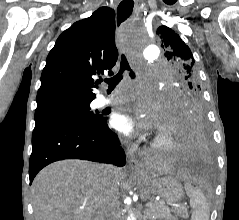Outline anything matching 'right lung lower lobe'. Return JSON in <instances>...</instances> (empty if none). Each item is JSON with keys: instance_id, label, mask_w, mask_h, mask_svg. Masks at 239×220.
I'll list each match as a JSON object with an SVG mask.
<instances>
[{"instance_id": "right-lung-lower-lobe-1", "label": "right lung lower lobe", "mask_w": 239, "mask_h": 220, "mask_svg": "<svg viewBox=\"0 0 239 220\" xmlns=\"http://www.w3.org/2000/svg\"><path fill=\"white\" fill-rule=\"evenodd\" d=\"M32 147L29 162L30 184L43 167L58 160L83 159L117 166H124L126 163L119 139L108 128L103 117L93 128L60 124L35 126Z\"/></svg>"}]
</instances>
